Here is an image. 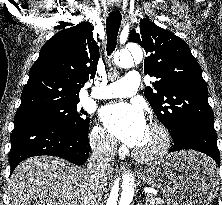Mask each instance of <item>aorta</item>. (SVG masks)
<instances>
[{
    "label": "aorta",
    "mask_w": 222,
    "mask_h": 205,
    "mask_svg": "<svg viewBox=\"0 0 222 205\" xmlns=\"http://www.w3.org/2000/svg\"><path fill=\"white\" fill-rule=\"evenodd\" d=\"M132 54L141 59V48L136 45H129L128 48L120 51L115 59V64L121 68L133 67L135 61ZM136 182L135 175L131 171H127L123 176L121 185H119V181L115 182L106 205H130L136 192Z\"/></svg>",
    "instance_id": "aorta-1"
}]
</instances>
